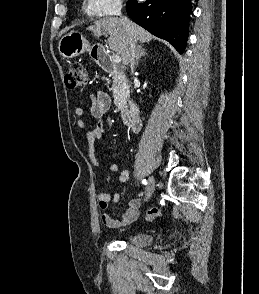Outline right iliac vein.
Masks as SVG:
<instances>
[{
	"mask_svg": "<svg viewBox=\"0 0 259 294\" xmlns=\"http://www.w3.org/2000/svg\"><path fill=\"white\" fill-rule=\"evenodd\" d=\"M155 190V179L153 176L149 178V183L147 185L146 189V200L150 199L154 193Z\"/></svg>",
	"mask_w": 259,
	"mask_h": 294,
	"instance_id": "1",
	"label": "right iliac vein"
}]
</instances>
